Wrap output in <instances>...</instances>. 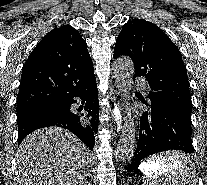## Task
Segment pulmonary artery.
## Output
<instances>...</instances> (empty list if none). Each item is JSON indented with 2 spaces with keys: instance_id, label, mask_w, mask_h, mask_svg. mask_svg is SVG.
Segmentation results:
<instances>
[{
  "instance_id": "e3ab8cb5",
  "label": "pulmonary artery",
  "mask_w": 207,
  "mask_h": 185,
  "mask_svg": "<svg viewBox=\"0 0 207 185\" xmlns=\"http://www.w3.org/2000/svg\"><path fill=\"white\" fill-rule=\"evenodd\" d=\"M133 86H142V81H133ZM143 90L147 92L149 90L148 87H143Z\"/></svg>"
}]
</instances>
